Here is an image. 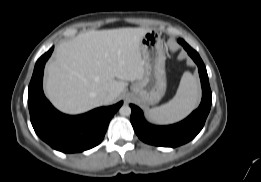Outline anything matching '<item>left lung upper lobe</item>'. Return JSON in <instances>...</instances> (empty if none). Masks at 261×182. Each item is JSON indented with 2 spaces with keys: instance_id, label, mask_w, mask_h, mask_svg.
<instances>
[{
  "instance_id": "left-lung-upper-lobe-1",
  "label": "left lung upper lobe",
  "mask_w": 261,
  "mask_h": 182,
  "mask_svg": "<svg viewBox=\"0 0 261 182\" xmlns=\"http://www.w3.org/2000/svg\"><path fill=\"white\" fill-rule=\"evenodd\" d=\"M178 42H179L181 45L187 44V43H186L184 40H182V39H179Z\"/></svg>"
}]
</instances>
